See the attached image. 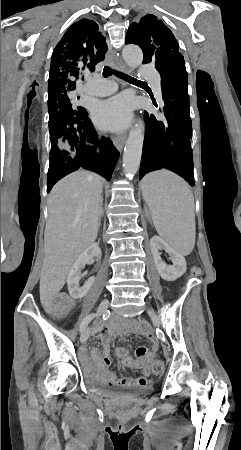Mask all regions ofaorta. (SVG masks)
Segmentation results:
<instances>
[{
	"mask_svg": "<svg viewBox=\"0 0 241 450\" xmlns=\"http://www.w3.org/2000/svg\"><path fill=\"white\" fill-rule=\"evenodd\" d=\"M122 54L125 62L132 68L138 67L143 61L142 50L136 45L125 46ZM143 141L144 122L139 119L130 132L124 149L123 170L126 176L133 177L140 167Z\"/></svg>",
	"mask_w": 241,
	"mask_h": 450,
	"instance_id": "aorta-1",
	"label": "aorta"
}]
</instances>
